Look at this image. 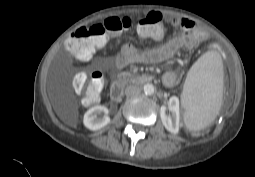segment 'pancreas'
Listing matches in <instances>:
<instances>
[{"mask_svg":"<svg viewBox=\"0 0 255 177\" xmlns=\"http://www.w3.org/2000/svg\"><path fill=\"white\" fill-rule=\"evenodd\" d=\"M131 76V74L129 73V72H121L119 75H118V77H122V78H124V79H126V78H128V77H130Z\"/></svg>","mask_w":255,"mask_h":177,"instance_id":"obj_1","label":"pancreas"}]
</instances>
